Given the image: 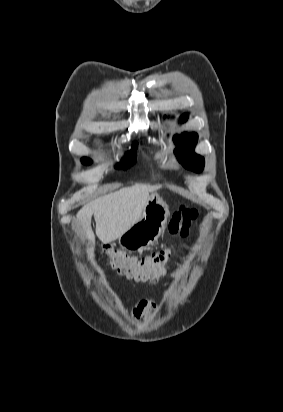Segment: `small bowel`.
Wrapping results in <instances>:
<instances>
[{"mask_svg": "<svg viewBox=\"0 0 283 412\" xmlns=\"http://www.w3.org/2000/svg\"><path fill=\"white\" fill-rule=\"evenodd\" d=\"M155 308L156 303L154 301L150 299H141L136 303L130 312V317L133 319H138L143 315L150 316Z\"/></svg>", "mask_w": 283, "mask_h": 412, "instance_id": "c3829d8e", "label": "small bowel"}]
</instances>
